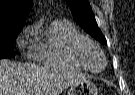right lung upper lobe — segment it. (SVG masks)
Returning <instances> with one entry per match:
<instances>
[{"label": "right lung upper lobe", "mask_w": 135, "mask_h": 95, "mask_svg": "<svg viewBox=\"0 0 135 95\" xmlns=\"http://www.w3.org/2000/svg\"><path fill=\"white\" fill-rule=\"evenodd\" d=\"M32 5V0H0V35L21 31Z\"/></svg>", "instance_id": "1"}]
</instances>
